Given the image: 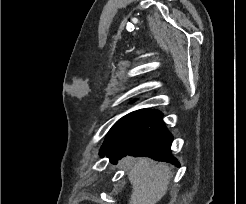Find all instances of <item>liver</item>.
Here are the masks:
<instances>
[{"label":"liver","mask_w":246,"mask_h":204,"mask_svg":"<svg viewBox=\"0 0 246 204\" xmlns=\"http://www.w3.org/2000/svg\"><path fill=\"white\" fill-rule=\"evenodd\" d=\"M122 164L132 185L129 204H157L166 194L173 177L167 164H151L148 158H141L131 165L130 157Z\"/></svg>","instance_id":"1"}]
</instances>
